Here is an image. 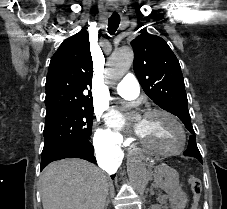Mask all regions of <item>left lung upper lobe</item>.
<instances>
[{
	"instance_id": "5c2ea615",
	"label": "left lung upper lobe",
	"mask_w": 227,
	"mask_h": 209,
	"mask_svg": "<svg viewBox=\"0 0 227 209\" xmlns=\"http://www.w3.org/2000/svg\"><path fill=\"white\" fill-rule=\"evenodd\" d=\"M131 45L134 50V71L144 92L162 109L176 115L187 130L194 133L181 67L166 41L143 32L131 41ZM184 155L202 163L194 134L189 137Z\"/></svg>"
}]
</instances>
